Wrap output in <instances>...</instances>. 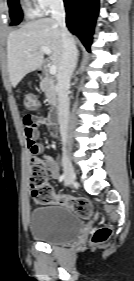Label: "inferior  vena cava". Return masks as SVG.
I'll return each mask as SVG.
<instances>
[{
  "instance_id": "inferior-vena-cava-1",
  "label": "inferior vena cava",
  "mask_w": 134,
  "mask_h": 281,
  "mask_svg": "<svg viewBox=\"0 0 134 281\" xmlns=\"http://www.w3.org/2000/svg\"><path fill=\"white\" fill-rule=\"evenodd\" d=\"M52 18L60 28L62 42V58L57 74L58 90V121L63 145L67 142V130L69 121V97L70 78L75 69L77 50L74 39L66 28L65 8L63 0H53L51 3Z\"/></svg>"
}]
</instances>
